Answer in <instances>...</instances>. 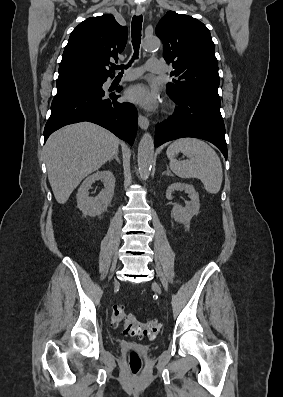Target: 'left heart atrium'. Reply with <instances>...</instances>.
<instances>
[{
  "instance_id": "39dd6f15",
  "label": "left heart atrium",
  "mask_w": 283,
  "mask_h": 397,
  "mask_svg": "<svg viewBox=\"0 0 283 397\" xmlns=\"http://www.w3.org/2000/svg\"><path fill=\"white\" fill-rule=\"evenodd\" d=\"M124 98L145 109L153 110L156 108L158 98L156 93L145 84H135L124 92Z\"/></svg>"
}]
</instances>
